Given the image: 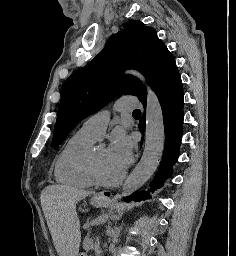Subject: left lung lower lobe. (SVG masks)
I'll list each match as a JSON object with an SVG mask.
<instances>
[{"label":"left lung lower lobe","mask_w":236,"mask_h":256,"mask_svg":"<svg viewBox=\"0 0 236 256\" xmlns=\"http://www.w3.org/2000/svg\"><path fill=\"white\" fill-rule=\"evenodd\" d=\"M154 91L159 99L165 131V145L161 165L156 173L153 181L150 184L149 191L163 186L165 180L172 174V167L179 156V146L182 138L183 128V90L182 82L178 70L175 69L168 74L155 88ZM142 104L146 105V96L140 99ZM140 132L145 130L144 116L139 122ZM149 191L135 192L129 197H125L124 201L130 202L150 199Z\"/></svg>","instance_id":"0a47b994"}]
</instances>
